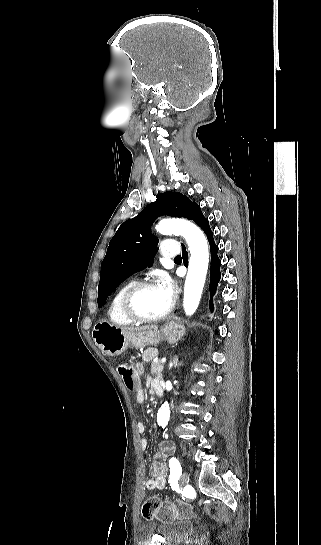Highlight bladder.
I'll return each instance as SVG.
<instances>
[{
	"label": "bladder",
	"mask_w": 321,
	"mask_h": 545,
	"mask_svg": "<svg viewBox=\"0 0 321 545\" xmlns=\"http://www.w3.org/2000/svg\"><path fill=\"white\" fill-rule=\"evenodd\" d=\"M151 527L156 530L166 542L180 543L190 535L192 522L189 520L154 521Z\"/></svg>",
	"instance_id": "31cf9c89"
}]
</instances>
